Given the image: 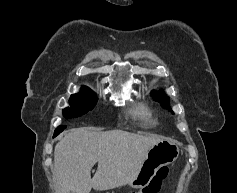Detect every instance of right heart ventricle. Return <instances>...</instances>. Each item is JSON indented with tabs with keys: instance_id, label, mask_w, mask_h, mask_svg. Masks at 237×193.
Listing matches in <instances>:
<instances>
[{
	"instance_id": "right-heart-ventricle-1",
	"label": "right heart ventricle",
	"mask_w": 237,
	"mask_h": 193,
	"mask_svg": "<svg viewBox=\"0 0 237 193\" xmlns=\"http://www.w3.org/2000/svg\"><path fill=\"white\" fill-rule=\"evenodd\" d=\"M134 117L140 119L148 125H154L155 120L152 117V114L149 110L143 107H138L132 111Z\"/></svg>"
}]
</instances>
